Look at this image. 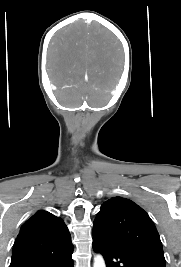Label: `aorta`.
<instances>
[{
  "mask_svg": "<svg viewBox=\"0 0 181 267\" xmlns=\"http://www.w3.org/2000/svg\"><path fill=\"white\" fill-rule=\"evenodd\" d=\"M93 267H106L105 261L100 254L94 257Z\"/></svg>",
  "mask_w": 181,
  "mask_h": 267,
  "instance_id": "aorta-1",
  "label": "aorta"
}]
</instances>
